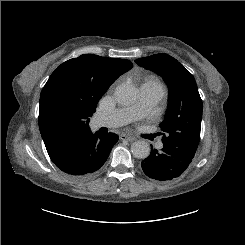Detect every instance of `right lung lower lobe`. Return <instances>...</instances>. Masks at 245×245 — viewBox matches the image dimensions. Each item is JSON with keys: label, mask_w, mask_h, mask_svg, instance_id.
<instances>
[{"label": "right lung lower lobe", "mask_w": 245, "mask_h": 245, "mask_svg": "<svg viewBox=\"0 0 245 245\" xmlns=\"http://www.w3.org/2000/svg\"><path fill=\"white\" fill-rule=\"evenodd\" d=\"M117 141L118 137L111 133L89 132L75 140L52 161L74 179H89L105 163Z\"/></svg>", "instance_id": "98d812e1"}]
</instances>
